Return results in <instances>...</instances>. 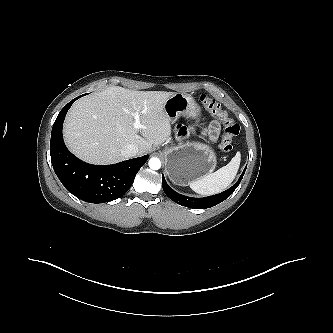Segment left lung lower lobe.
<instances>
[{
	"mask_svg": "<svg viewBox=\"0 0 333 333\" xmlns=\"http://www.w3.org/2000/svg\"><path fill=\"white\" fill-rule=\"evenodd\" d=\"M246 167L243 170L238 181L231 188H229L228 190H226L220 194H216V195H212V196H208V197H204V198L187 197V196L181 195V194L175 192L173 189H171L169 187V185L166 183L164 176H162L163 190H164L165 194L171 200H173L174 202H176L182 206L194 208V209L210 208V207H213V206L221 203L225 199H227L235 191V189L238 187L239 183L241 182V180L244 176Z\"/></svg>",
	"mask_w": 333,
	"mask_h": 333,
	"instance_id": "left-lung-lower-lobe-1",
	"label": "left lung lower lobe"
}]
</instances>
